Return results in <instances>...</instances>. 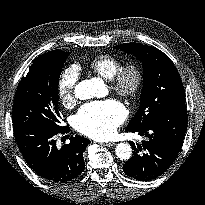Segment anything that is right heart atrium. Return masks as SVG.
I'll list each match as a JSON object with an SVG mask.
<instances>
[{"instance_id":"d8ad5b80","label":"right heart atrium","mask_w":205,"mask_h":205,"mask_svg":"<svg viewBox=\"0 0 205 205\" xmlns=\"http://www.w3.org/2000/svg\"><path fill=\"white\" fill-rule=\"evenodd\" d=\"M79 79V72L76 67L71 66L65 69L57 83V94L64 106H70L75 102V87Z\"/></svg>"}]
</instances>
